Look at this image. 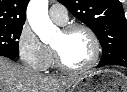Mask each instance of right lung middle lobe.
Segmentation results:
<instances>
[{
	"label": "right lung middle lobe",
	"instance_id": "dd1d6c3e",
	"mask_svg": "<svg viewBox=\"0 0 127 92\" xmlns=\"http://www.w3.org/2000/svg\"><path fill=\"white\" fill-rule=\"evenodd\" d=\"M21 26H0V53L17 57L19 55V42L22 32Z\"/></svg>",
	"mask_w": 127,
	"mask_h": 92
}]
</instances>
